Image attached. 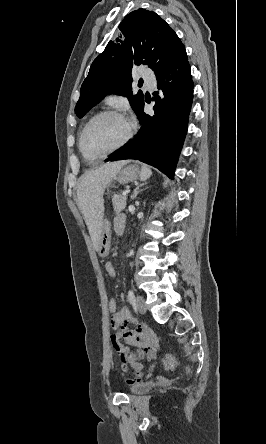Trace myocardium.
Listing matches in <instances>:
<instances>
[{"label": "myocardium", "mask_w": 266, "mask_h": 444, "mask_svg": "<svg viewBox=\"0 0 266 444\" xmlns=\"http://www.w3.org/2000/svg\"><path fill=\"white\" fill-rule=\"evenodd\" d=\"M108 115H114V116H118V117L122 118L127 124V132H126L124 138L115 147H113L105 152H102V153H97V154L90 153L84 145L85 134H86L88 128L90 127V125L94 121H96L97 119H99L103 116H108ZM132 136H133V127H132L131 122L126 118V116L119 110L106 109V110H102V111L96 113L85 124V126L82 129L80 136H79V148H80V151L82 152V154L86 157H93V156L103 157V156L109 155V154L123 148L124 146H126L128 144V142L131 140Z\"/></svg>", "instance_id": "1"}]
</instances>
